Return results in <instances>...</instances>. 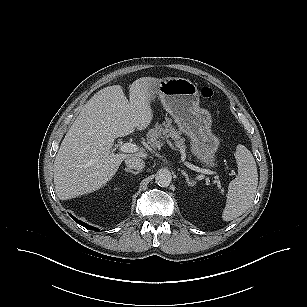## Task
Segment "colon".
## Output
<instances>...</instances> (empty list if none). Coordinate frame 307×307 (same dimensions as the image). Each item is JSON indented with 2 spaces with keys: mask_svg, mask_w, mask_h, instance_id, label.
Returning <instances> with one entry per match:
<instances>
[{
  "mask_svg": "<svg viewBox=\"0 0 307 307\" xmlns=\"http://www.w3.org/2000/svg\"><path fill=\"white\" fill-rule=\"evenodd\" d=\"M201 93H202V96L206 99H211L214 97V91L210 87H207V86L202 88Z\"/></svg>",
  "mask_w": 307,
  "mask_h": 307,
  "instance_id": "1",
  "label": "colon"
}]
</instances>
